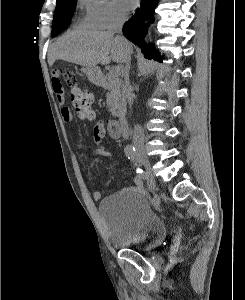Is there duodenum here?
<instances>
[{"label": "duodenum", "instance_id": "duodenum-1", "mask_svg": "<svg viewBox=\"0 0 245 300\" xmlns=\"http://www.w3.org/2000/svg\"><path fill=\"white\" fill-rule=\"evenodd\" d=\"M98 81L102 82V79L98 76L97 77ZM118 123L120 126V130L123 134V136H126L128 134V120L127 116L123 113H120L118 115Z\"/></svg>", "mask_w": 245, "mask_h": 300}]
</instances>
